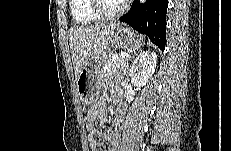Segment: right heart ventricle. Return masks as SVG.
I'll list each match as a JSON object with an SVG mask.
<instances>
[{
	"label": "right heart ventricle",
	"mask_w": 231,
	"mask_h": 151,
	"mask_svg": "<svg viewBox=\"0 0 231 151\" xmlns=\"http://www.w3.org/2000/svg\"><path fill=\"white\" fill-rule=\"evenodd\" d=\"M92 0H72L71 14L78 25H88L100 21L94 14L91 6Z\"/></svg>",
	"instance_id": "1"
}]
</instances>
